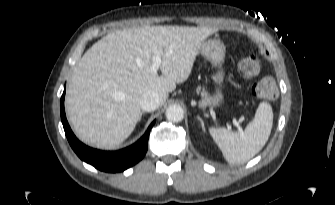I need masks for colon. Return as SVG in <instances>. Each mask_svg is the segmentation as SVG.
Wrapping results in <instances>:
<instances>
[{
  "label": "colon",
  "mask_w": 335,
  "mask_h": 205,
  "mask_svg": "<svg viewBox=\"0 0 335 205\" xmlns=\"http://www.w3.org/2000/svg\"><path fill=\"white\" fill-rule=\"evenodd\" d=\"M239 70L246 78H252L259 73L260 61L256 55H248L239 62ZM253 93L258 98L274 99L278 95L277 85L273 78L264 77L253 86Z\"/></svg>",
  "instance_id": "colon-1"
}]
</instances>
